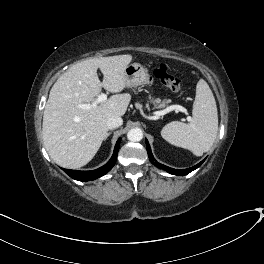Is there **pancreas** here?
Masks as SVG:
<instances>
[{"label":"pancreas","instance_id":"1","mask_svg":"<svg viewBox=\"0 0 264 264\" xmlns=\"http://www.w3.org/2000/svg\"><path fill=\"white\" fill-rule=\"evenodd\" d=\"M151 102L154 104V108H163L165 107L168 103H170V100H163L156 98L151 100Z\"/></svg>","mask_w":264,"mask_h":264}]
</instances>
